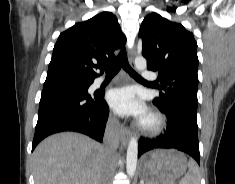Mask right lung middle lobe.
<instances>
[{
  "label": "right lung middle lobe",
  "mask_w": 235,
  "mask_h": 184,
  "mask_svg": "<svg viewBox=\"0 0 235 184\" xmlns=\"http://www.w3.org/2000/svg\"><path fill=\"white\" fill-rule=\"evenodd\" d=\"M70 81H74V80H80L78 78H69ZM87 82L91 83L93 82V80H86Z\"/></svg>",
  "instance_id": "dd1d6c3e"
}]
</instances>
